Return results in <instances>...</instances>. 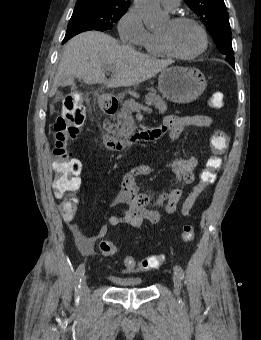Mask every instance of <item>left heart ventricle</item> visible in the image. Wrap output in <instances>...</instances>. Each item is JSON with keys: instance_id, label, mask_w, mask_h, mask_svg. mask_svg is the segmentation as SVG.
Listing matches in <instances>:
<instances>
[{"instance_id": "b2bd125f", "label": "left heart ventricle", "mask_w": 261, "mask_h": 340, "mask_svg": "<svg viewBox=\"0 0 261 340\" xmlns=\"http://www.w3.org/2000/svg\"><path fill=\"white\" fill-rule=\"evenodd\" d=\"M157 35L166 39L171 48L180 54L194 53L202 45L201 34L191 23L174 24L170 20Z\"/></svg>"}]
</instances>
